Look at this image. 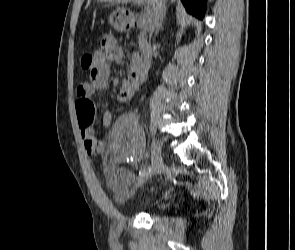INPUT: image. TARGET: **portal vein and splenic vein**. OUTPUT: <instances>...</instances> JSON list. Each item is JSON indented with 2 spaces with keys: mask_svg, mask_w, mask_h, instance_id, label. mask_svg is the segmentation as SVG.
I'll return each mask as SVG.
<instances>
[{
  "mask_svg": "<svg viewBox=\"0 0 295 250\" xmlns=\"http://www.w3.org/2000/svg\"><path fill=\"white\" fill-rule=\"evenodd\" d=\"M124 1L127 2L129 0H124ZM132 2H136L138 4H144L145 0H132ZM146 13H147V15H150L152 13V11L149 7L146 8Z\"/></svg>",
  "mask_w": 295,
  "mask_h": 250,
  "instance_id": "portal-vein-and-splenic-vein-1",
  "label": "portal vein and splenic vein"
}]
</instances>
